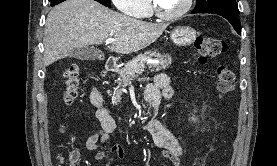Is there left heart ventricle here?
Segmentation results:
<instances>
[{
    "mask_svg": "<svg viewBox=\"0 0 277 166\" xmlns=\"http://www.w3.org/2000/svg\"><path fill=\"white\" fill-rule=\"evenodd\" d=\"M160 9L166 14H173L179 11L186 0H156Z\"/></svg>",
    "mask_w": 277,
    "mask_h": 166,
    "instance_id": "1",
    "label": "left heart ventricle"
}]
</instances>
